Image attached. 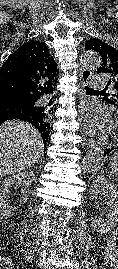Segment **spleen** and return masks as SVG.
I'll return each mask as SVG.
<instances>
[{
	"mask_svg": "<svg viewBox=\"0 0 118 269\" xmlns=\"http://www.w3.org/2000/svg\"><path fill=\"white\" fill-rule=\"evenodd\" d=\"M111 170L113 174L118 177V151H116L112 158H111V163H110Z\"/></svg>",
	"mask_w": 118,
	"mask_h": 269,
	"instance_id": "spleen-1",
	"label": "spleen"
}]
</instances>
